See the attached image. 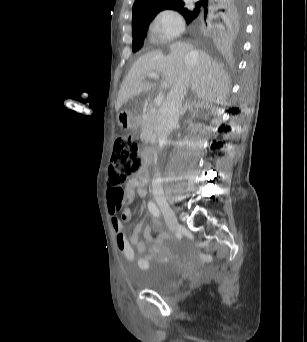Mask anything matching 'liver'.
<instances>
[{"instance_id": "liver-1", "label": "liver", "mask_w": 307, "mask_h": 342, "mask_svg": "<svg viewBox=\"0 0 307 342\" xmlns=\"http://www.w3.org/2000/svg\"><path fill=\"white\" fill-rule=\"evenodd\" d=\"M190 52H196L191 60L192 92H195L197 98L203 100L202 104L206 106L224 104L230 92L229 76L225 70L217 62H213L206 52L193 50V46L186 42H175V44H160L159 50L148 52L134 62L120 86L116 110H120L121 106L133 96H139L141 92H148L156 86L153 82H146L147 74H163L161 88L174 86L185 72L186 56Z\"/></svg>"}]
</instances>
